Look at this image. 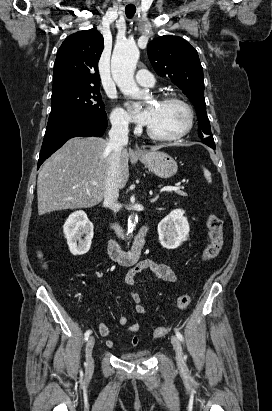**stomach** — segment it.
I'll return each mask as SVG.
<instances>
[{
    "mask_svg": "<svg viewBox=\"0 0 272 411\" xmlns=\"http://www.w3.org/2000/svg\"><path fill=\"white\" fill-rule=\"evenodd\" d=\"M138 158L146 168L161 178H170L178 170L176 161L165 152L147 151L138 155Z\"/></svg>",
    "mask_w": 272,
    "mask_h": 411,
    "instance_id": "0dacf381",
    "label": "stomach"
}]
</instances>
